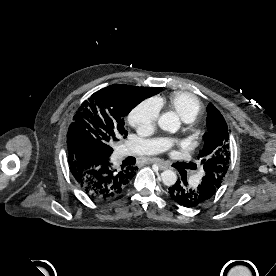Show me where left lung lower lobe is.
Returning a JSON list of instances; mask_svg holds the SVG:
<instances>
[{
    "mask_svg": "<svg viewBox=\"0 0 276 276\" xmlns=\"http://www.w3.org/2000/svg\"><path fill=\"white\" fill-rule=\"evenodd\" d=\"M187 181L182 178L175 185L169 188L170 197L179 205L187 208L200 206L208 201L214 194L217 188L211 181L202 180L195 188H186Z\"/></svg>",
    "mask_w": 276,
    "mask_h": 276,
    "instance_id": "0a47b994",
    "label": "left lung lower lobe"
}]
</instances>
